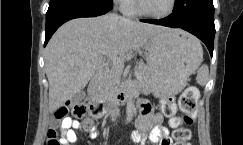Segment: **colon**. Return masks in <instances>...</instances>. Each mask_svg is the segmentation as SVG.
<instances>
[{
    "mask_svg": "<svg viewBox=\"0 0 243 145\" xmlns=\"http://www.w3.org/2000/svg\"><path fill=\"white\" fill-rule=\"evenodd\" d=\"M198 98L199 92L197 88H186L179 99V108L183 115L178 117L175 116L177 107L172 97L164 98L161 101V110L166 117L171 118L170 124L174 128V145H190L189 139L191 133L186 126L190 125L195 118ZM85 111V106L80 103L78 99L73 98L66 102V104L60 106L54 112L53 118L56 122L62 121L66 117H69V113L75 117L80 118L84 116ZM90 127L91 125L89 123L83 124V128L86 130H89ZM47 145H61L60 138L56 132L55 127H52L48 130Z\"/></svg>",
    "mask_w": 243,
    "mask_h": 145,
    "instance_id": "colon-1",
    "label": "colon"
}]
</instances>
